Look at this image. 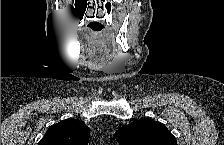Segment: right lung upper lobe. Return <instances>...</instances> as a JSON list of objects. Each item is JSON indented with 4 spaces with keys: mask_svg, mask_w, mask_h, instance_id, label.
<instances>
[{
    "mask_svg": "<svg viewBox=\"0 0 224 145\" xmlns=\"http://www.w3.org/2000/svg\"><path fill=\"white\" fill-rule=\"evenodd\" d=\"M89 137V128L70 118L50 126L39 145H87Z\"/></svg>",
    "mask_w": 224,
    "mask_h": 145,
    "instance_id": "1",
    "label": "right lung upper lobe"
}]
</instances>
